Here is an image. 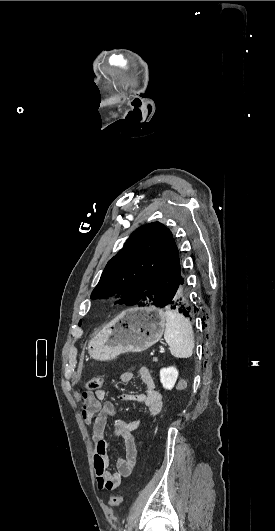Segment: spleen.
I'll return each mask as SVG.
<instances>
[{
  "label": "spleen",
  "mask_w": 275,
  "mask_h": 531,
  "mask_svg": "<svg viewBox=\"0 0 275 531\" xmlns=\"http://www.w3.org/2000/svg\"><path fill=\"white\" fill-rule=\"evenodd\" d=\"M164 339L170 347V353L178 359L192 357L194 349V333L189 319L184 315L167 309Z\"/></svg>",
  "instance_id": "3e777b00"
}]
</instances>
